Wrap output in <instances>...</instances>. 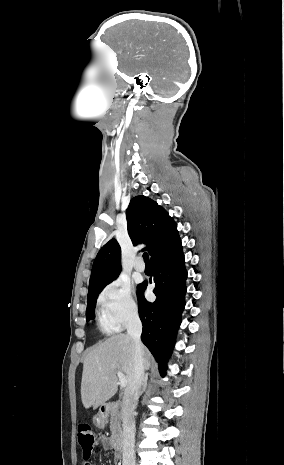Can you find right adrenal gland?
I'll use <instances>...</instances> for the list:
<instances>
[{"label": "right adrenal gland", "instance_id": "2a0ac1e0", "mask_svg": "<svg viewBox=\"0 0 284 465\" xmlns=\"http://www.w3.org/2000/svg\"><path fill=\"white\" fill-rule=\"evenodd\" d=\"M148 377H150V373H145V377H144V381H143V387H142V391H141L140 395H142V393H145V391H146V387H147V383H148Z\"/></svg>", "mask_w": 284, "mask_h": 465}]
</instances>
